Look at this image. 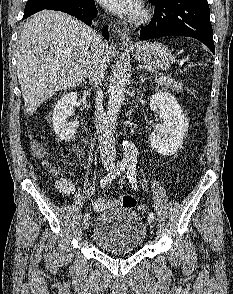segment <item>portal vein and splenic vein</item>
Masks as SVG:
<instances>
[{"label": "portal vein and splenic vein", "mask_w": 233, "mask_h": 294, "mask_svg": "<svg viewBox=\"0 0 233 294\" xmlns=\"http://www.w3.org/2000/svg\"><path fill=\"white\" fill-rule=\"evenodd\" d=\"M167 78V76L162 75L158 78V81H165Z\"/></svg>", "instance_id": "obj_1"}]
</instances>
